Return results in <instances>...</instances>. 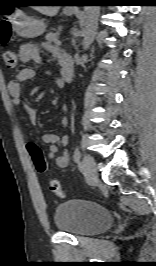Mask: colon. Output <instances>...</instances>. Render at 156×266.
I'll use <instances>...</instances> for the list:
<instances>
[{"instance_id":"colon-1","label":"colon","mask_w":156,"mask_h":266,"mask_svg":"<svg viewBox=\"0 0 156 266\" xmlns=\"http://www.w3.org/2000/svg\"><path fill=\"white\" fill-rule=\"evenodd\" d=\"M12 35V28L8 22H3L0 25V40L2 42L7 41ZM2 59L5 66L9 69L16 67L18 62V56L13 50H6L2 54ZM27 150L30 154L31 160L35 169L39 173H48V165L43 155L42 150L35 143H28ZM49 189L51 192L55 193L57 196L63 198L64 193L61 190V186L58 180L49 177Z\"/></svg>"}]
</instances>
